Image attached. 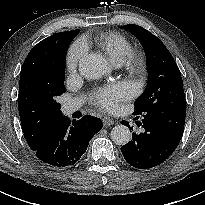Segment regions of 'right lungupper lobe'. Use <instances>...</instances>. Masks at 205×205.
<instances>
[{
  "mask_svg": "<svg viewBox=\"0 0 205 205\" xmlns=\"http://www.w3.org/2000/svg\"><path fill=\"white\" fill-rule=\"evenodd\" d=\"M79 29L42 40L27 55L20 73L18 109L24 136L32 150L63 115L55 98L61 95L59 73L64 50Z\"/></svg>",
  "mask_w": 205,
  "mask_h": 205,
  "instance_id": "right-lung-upper-lobe-1",
  "label": "right lung upper lobe"
}]
</instances>
